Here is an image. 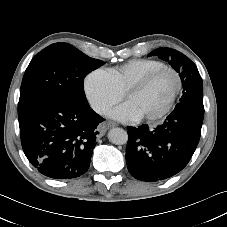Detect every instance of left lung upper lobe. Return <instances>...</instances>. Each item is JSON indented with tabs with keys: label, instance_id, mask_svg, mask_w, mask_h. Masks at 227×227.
I'll return each instance as SVG.
<instances>
[{
	"label": "left lung upper lobe",
	"instance_id": "5c2ea615",
	"mask_svg": "<svg viewBox=\"0 0 227 227\" xmlns=\"http://www.w3.org/2000/svg\"><path fill=\"white\" fill-rule=\"evenodd\" d=\"M158 56L179 73L183 86V95L175 109L203 106V83L196 65L181 52L170 48H158L148 54Z\"/></svg>",
	"mask_w": 227,
	"mask_h": 227
}]
</instances>
